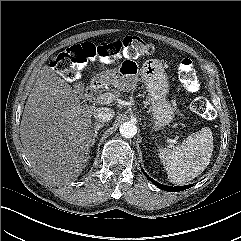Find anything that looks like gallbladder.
Segmentation results:
<instances>
[{
	"instance_id": "bac80fb5",
	"label": "gallbladder",
	"mask_w": 241,
	"mask_h": 241,
	"mask_svg": "<svg viewBox=\"0 0 241 241\" xmlns=\"http://www.w3.org/2000/svg\"><path fill=\"white\" fill-rule=\"evenodd\" d=\"M76 89H77L79 92H82L83 89H84L83 84H77V85H76Z\"/></svg>"
}]
</instances>
